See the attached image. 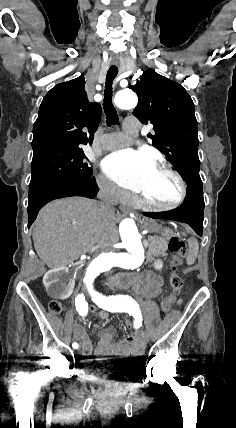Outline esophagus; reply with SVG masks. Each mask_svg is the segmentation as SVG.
<instances>
[{
	"label": "esophagus",
	"instance_id": "34e87169",
	"mask_svg": "<svg viewBox=\"0 0 236 428\" xmlns=\"http://www.w3.org/2000/svg\"><path fill=\"white\" fill-rule=\"evenodd\" d=\"M112 63V65H117L118 64V61H113V62H111Z\"/></svg>",
	"mask_w": 236,
	"mask_h": 428
}]
</instances>
